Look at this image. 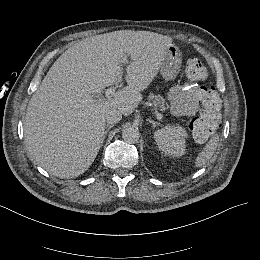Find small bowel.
Here are the masks:
<instances>
[{"label": "small bowel", "instance_id": "1", "mask_svg": "<svg viewBox=\"0 0 260 260\" xmlns=\"http://www.w3.org/2000/svg\"><path fill=\"white\" fill-rule=\"evenodd\" d=\"M167 97L171 113L181 117L194 115L201 109V106L206 109L210 94L204 86L187 84L171 87Z\"/></svg>", "mask_w": 260, "mask_h": 260}]
</instances>
